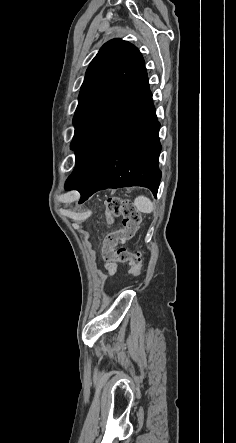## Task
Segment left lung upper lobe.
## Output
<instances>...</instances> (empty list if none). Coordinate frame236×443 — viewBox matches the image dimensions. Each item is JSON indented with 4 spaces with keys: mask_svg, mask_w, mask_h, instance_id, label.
Segmentation results:
<instances>
[{
    "mask_svg": "<svg viewBox=\"0 0 236 443\" xmlns=\"http://www.w3.org/2000/svg\"><path fill=\"white\" fill-rule=\"evenodd\" d=\"M145 62L140 51L122 39L105 43L91 61L79 94L73 118L71 149L91 125L111 107L136 79Z\"/></svg>",
    "mask_w": 236,
    "mask_h": 443,
    "instance_id": "left-lung-upper-lobe-1",
    "label": "left lung upper lobe"
}]
</instances>
